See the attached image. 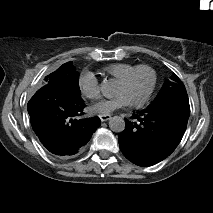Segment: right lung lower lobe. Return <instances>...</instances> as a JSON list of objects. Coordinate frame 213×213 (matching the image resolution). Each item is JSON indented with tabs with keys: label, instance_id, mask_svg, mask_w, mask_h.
I'll return each instance as SVG.
<instances>
[{
	"label": "right lung lower lobe",
	"instance_id": "1",
	"mask_svg": "<svg viewBox=\"0 0 213 213\" xmlns=\"http://www.w3.org/2000/svg\"><path fill=\"white\" fill-rule=\"evenodd\" d=\"M85 104L81 95L47 84L39 89L27 105L30 122L41 143L53 154H75L100 125L99 117L79 119Z\"/></svg>",
	"mask_w": 213,
	"mask_h": 213
}]
</instances>
